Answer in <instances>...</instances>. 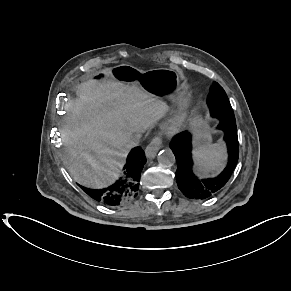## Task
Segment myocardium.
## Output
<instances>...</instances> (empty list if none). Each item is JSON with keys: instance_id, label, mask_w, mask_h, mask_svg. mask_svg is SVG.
<instances>
[{"instance_id": "1", "label": "myocardium", "mask_w": 291, "mask_h": 291, "mask_svg": "<svg viewBox=\"0 0 291 291\" xmlns=\"http://www.w3.org/2000/svg\"><path fill=\"white\" fill-rule=\"evenodd\" d=\"M186 121V113L184 111L175 112L172 117H170L163 124V131L166 135H174L181 131Z\"/></svg>"}]
</instances>
